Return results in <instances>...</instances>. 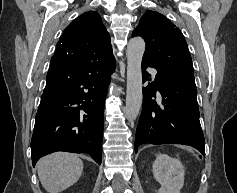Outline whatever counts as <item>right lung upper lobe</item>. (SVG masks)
<instances>
[{
	"label": "right lung upper lobe",
	"mask_w": 237,
	"mask_h": 193,
	"mask_svg": "<svg viewBox=\"0 0 237 193\" xmlns=\"http://www.w3.org/2000/svg\"><path fill=\"white\" fill-rule=\"evenodd\" d=\"M113 57L110 36L101 17L95 11H88L65 28L51 59L61 58L74 65H87Z\"/></svg>",
	"instance_id": "1"
}]
</instances>
